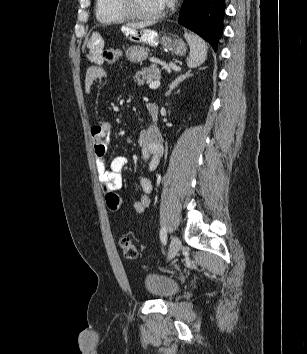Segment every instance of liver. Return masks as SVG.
Listing matches in <instances>:
<instances>
[{"instance_id":"6515ba94","label":"liver","mask_w":307,"mask_h":354,"mask_svg":"<svg viewBox=\"0 0 307 354\" xmlns=\"http://www.w3.org/2000/svg\"><path fill=\"white\" fill-rule=\"evenodd\" d=\"M149 24L148 23H143V22H140V23H132V24H129L128 27H130L131 29H143L145 27H147Z\"/></svg>"}]
</instances>
